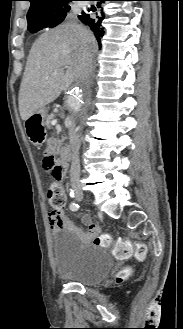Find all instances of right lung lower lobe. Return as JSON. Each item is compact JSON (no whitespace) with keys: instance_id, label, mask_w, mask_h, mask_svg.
Returning a JSON list of instances; mask_svg holds the SVG:
<instances>
[{"instance_id":"obj_1","label":"right lung lower lobe","mask_w":183,"mask_h":329,"mask_svg":"<svg viewBox=\"0 0 183 329\" xmlns=\"http://www.w3.org/2000/svg\"><path fill=\"white\" fill-rule=\"evenodd\" d=\"M98 1L97 7L95 8L94 6H91L90 8L86 9L85 11H82V14L78 16V18L86 25L90 27V29L94 32V35L100 44V39L103 37L105 31L104 28L102 27V21L105 18V14L100 8V4L102 1L106 0H94ZM95 12V13H92Z\"/></svg>"}]
</instances>
